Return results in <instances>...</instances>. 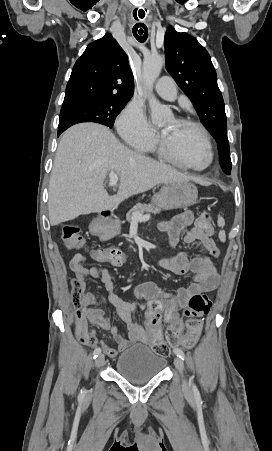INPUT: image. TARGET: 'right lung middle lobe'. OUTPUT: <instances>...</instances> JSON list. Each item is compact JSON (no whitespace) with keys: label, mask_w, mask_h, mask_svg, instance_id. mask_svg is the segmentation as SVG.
<instances>
[{"label":"right lung middle lobe","mask_w":272,"mask_h":451,"mask_svg":"<svg viewBox=\"0 0 272 451\" xmlns=\"http://www.w3.org/2000/svg\"><path fill=\"white\" fill-rule=\"evenodd\" d=\"M128 101L96 97L64 101L60 112L58 134L81 122H95L112 128L115 118Z\"/></svg>","instance_id":"right-lung-middle-lobe-1"}]
</instances>
